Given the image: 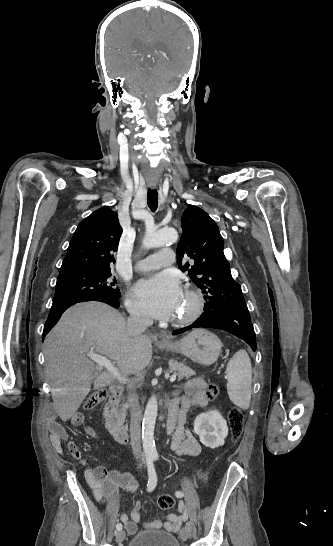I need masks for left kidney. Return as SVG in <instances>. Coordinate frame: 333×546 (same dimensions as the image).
I'll use <instances>...</instances> for the list:
<instances>
[{"mask_svg":"<svg viewBox=\"0 0 333 546\" xmlns=\"http://www.w3.org/2000/svg\"><path fill=\"white\" fill-rule=\"evenodd\" d=\"M194 431L201 443L213 449L223 446L228 435L227 423L217 410L198 415L194 421Z\"/></svg>","mask_w":333,"mask_h":546,"instance_id":"obj_1","label":"left kidney"}]
</instances>
